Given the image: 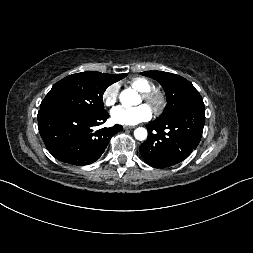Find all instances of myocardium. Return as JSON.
Masks as SVG:
<instances>
[{"label":"myocardium","mask_w":253,"mask_h":253,"mask_svg":"<svg viewBox=\"0 0 253 253\" xmlns=\"http://www.w3.org/2000/svg\"><path fill=\"white\" fill-rule=\"evenodd\" d=\"M141 97L155 112H160L167 102L165 93L156 88L141 93Z\"/></svg>","instance_id":"1"}]
</instances>
